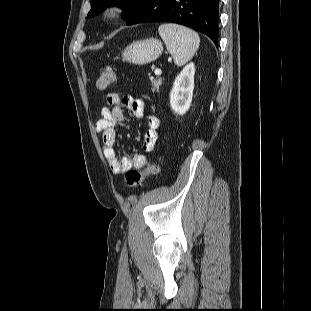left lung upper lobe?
Returning <instances> with one entry per match:
<instances>
[{"label":"left lung upper lobe","instance_id":"left-lung-upper-lobe-1","mask_svg":"<svg viewBox=\"0 0 311 311\" xmlns=\"http://www.w3.org/2000/svg\"><path fill=\"white\" fill-rule=\"evenodd\" d=\"M142 0H91V10L88 17L95 16L109 6H118L125 10L123 18L125 19Z\"/></svg>","mask_w":311,"mask_h":311}]
</instances>
